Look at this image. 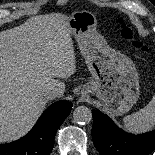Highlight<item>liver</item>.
I'll list each match as a JSON object with an SVG mask.
<instances>
[{
	"label": "liver",
	"mask_w": 155,
	"mask_h": 155,
	"mask_svg": "<svg viewBox=\"0 0 155 155\" xmlns=\"http://www.w3.org/2000/svg\"><path fill=\"white\" fill-rule=\"evenodd\" d=\"M60 14L34 16L0 32V143L26 134L44 110L47 87L64 92L76 72L70 32Z\"/></svg>",
	"instance_id": "1"
}]
</instances>
